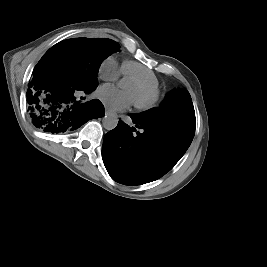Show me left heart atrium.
Wrapping results in <instances>:
<instances>
[{
	"label": "left heart atrium",
	"instance_id": "39dd6f15",
	"mask_svg": "<svg viewBox=\"0 0 267 267\" xmlns=\"http://www.w3.org/2000/svg\"><path fill=\"white\" fill-rule=\"evenodd\" d=\"M99 96L112 110L115 111L126 109L133 100L128 91H122L110 85L101 87Z\"/></svg>",
	"mask_w": 267,
	"mask_h": 267
}]
</instances>
